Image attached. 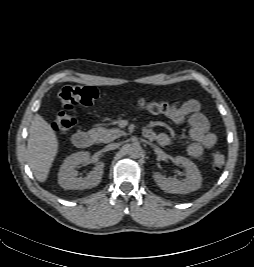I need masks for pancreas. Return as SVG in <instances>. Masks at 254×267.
<instances>
[{
	"mask_svg": "<svg viewBox=\"0 0 254 267\" xmlns=\"http://www.w3.org/2000/svg\"><path fill=\"white\" fill-rule=\"evenodd\" d=\"M91 133L98 142L108 143L120 137L123 132L119 129H105L103 127L94 128Z\"/></svg>",
	"mask_w": 254,
	"mask_h": 267,
	"instance_id": "cf45deb5",
	"label": "pancreas"
}]
</instances>
